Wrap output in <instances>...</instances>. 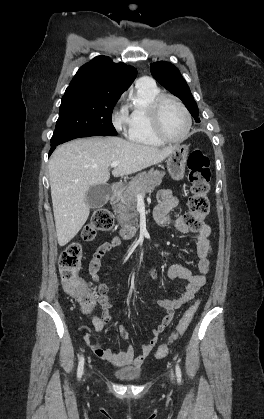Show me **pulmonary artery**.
<instances>
[{"mask_svg": "<svg viewBox=\"0 0 264 419\" xmlns=\"http://www.w3.org/2000/svg\"><path fill=\"white\" fill-rule=\"evenodd\" d=\"M138 82L147 83V82H152V80L150 78H148V77H142V78L139 79Z\"/></svg>", "mask_w": 264, "mask_h": 419, "instance_id": "e3ab8cb5", "label": "pulmonary artery"}]
</instances>
